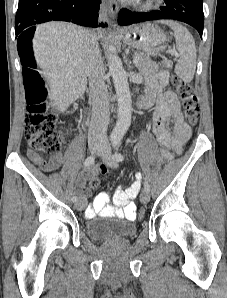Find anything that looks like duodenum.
<instances>
[{
  "mask_svg": "<svg viewBox=\"0 0 227 298\" xmlns=\"http://www.w3.org/2000/svg\"><path fill=\"white\" fill-rule=\"evenodd\" d=\"M137 105L139 108H144V103L141 101V99L138 100Z\"/></svg>",
  "mask_w": 227,
  "mask_h": 298,
  "instance_id": "obj_1",
  "label": "duodenum"
}]
</instances>
